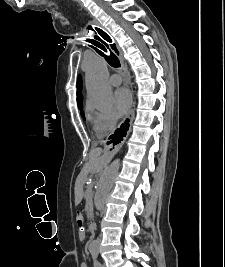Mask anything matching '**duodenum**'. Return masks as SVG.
<instances>
[{"label": "duodenum", "mask_w": 225, "mask_h": 267, "mask_svg": "<svg viewBox=\"0 0 225 267\" xmlns=\"http://www.w3.org/2000/svg\"><path fill=\"white\" fill-rule=\"evenodd\" d=\"M90 228H91L92 230L96 229V224H95V223H91V224H90Z\"/></svg>", "instance_id": "obj_1"}]
</instances>
